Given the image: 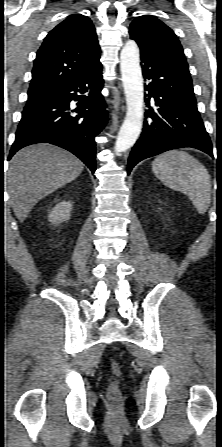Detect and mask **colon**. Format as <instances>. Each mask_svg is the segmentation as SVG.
Masks as SVG:
<instances>
[{"label": "colon", "instance_id": "1", "mask_svg": "<svg viewBox=\"0 0 222 447\" xmlns=\"http://www.w3.org/2000/svg\"><path fill=\"white\" fill-rule=\"evenodd\" d=\"M111 372L114 376L120 377L121 376V369L117 363L111 364ZM107 398L110 402L116 403L119 402L121 399V391L119 388L118 381H113L107 390Z\"/></svg>", "mask_w": 222, "mask_h": 447}]
</instances>
